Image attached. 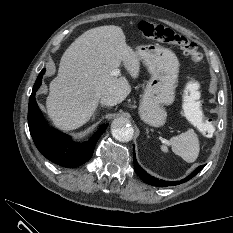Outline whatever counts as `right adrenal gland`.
Returning <instances> with one entry per match:
<instances>
[{
	"instance_id": "2a0ac1e0",
	"label": "right adrenal gland",
	"mask_w": 233,
	"mask_h": 233,
	"mask_svg": "<svg viewBox=\"0 0 233 233\" xmlns=\"http://www.w3.org/2000/svg\"><path fill=\"white\" fill-rule=\"evenodd\" d=\"M95 116H96V113L93 115L92 120H94V119H95Z\"/></svg>"
}]
</instances>
